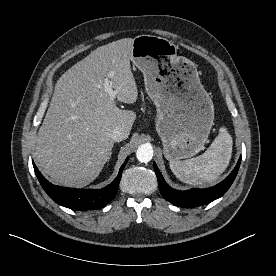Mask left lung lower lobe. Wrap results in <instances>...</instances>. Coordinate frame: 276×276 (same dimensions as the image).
<instances>
[{"instance_id":"obj_1","label":"left lung lower lobe","mask_w":276,"mask_h":276,"mask_svg":"<svg viewBox=\"0 0 276 276\" xmlns=\"http://www.w3.org/2000/svg\"><path fill=\"white\" fill-rule=\"evenodd\" d=\"M241 163V157L237 165L229 176L219 184L207 189H192L190 191H178L169 187L164 181L156 163L154 162V170L158 179L159 189L162 196L176 206L191 208L209 204L210 202L220 198L232 185Z\"/></svg>"}]
</instances>
